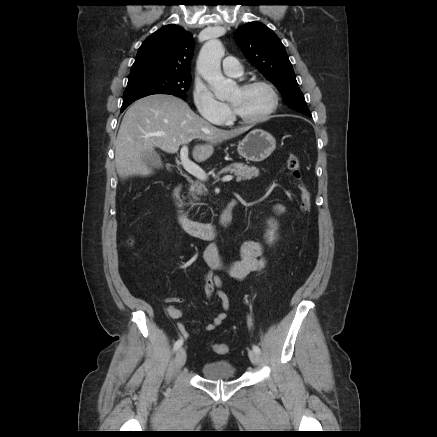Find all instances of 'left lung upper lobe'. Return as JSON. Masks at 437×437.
<instances>
[{
  "instance_id": "5c2ea615",
  "label": "left lung upper lobe",
  "mask_w": 437,
  "mask_h": 437,
  "mask_svg": "<svg viewBox=\"0 0 437 437\" xmlns=\"http://www.w3.org/2000/svg\"><path fill=\"white\" fill-rule=\"evenodd\" d=\"M234 39L245 57L277 87L284 103L312 117L278 36L264 24L250 22L234 32Z\"/></svg>"
}]
</instances>
